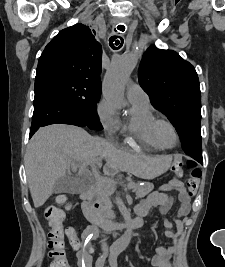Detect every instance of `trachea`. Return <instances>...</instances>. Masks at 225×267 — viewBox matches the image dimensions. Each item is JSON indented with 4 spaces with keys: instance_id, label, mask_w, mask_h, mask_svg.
<instances>
[{
    "instance_id": "trachea-1",
    "label": "trachea",
    "mask_w": 225,
    "mask_h": 267,
    "mask_svg": "<svg viewBox=\"0 0 225 267\" xmlns=\"http://www.w3.org/2000/svg\"><path fill=\"white\" fill-rule=\"evenodd\" d=\"M117 30L119 31H125V26L124 25H118ZM123 39L119 36H111L109 38V45L111 46L112 49H120L123 45Z\"/></svg>"
}]
</instances>
